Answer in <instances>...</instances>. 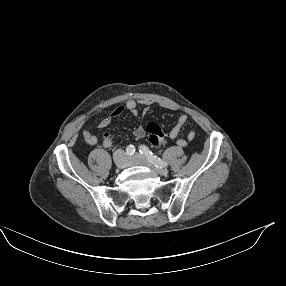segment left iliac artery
Segmentation results:
<instances>
[{
  "mask_svg": "<svg viewBox=\"0 0 286 286\" xmlns=\"http://www.w3.org/2000/svg\"><path fill=\"white\" fill-rule=\"evenodd\" d=\"M139 152L142 155L146 156L148 161H150L156 167H167V165H168L165 161H163L160 158H158L157 156L153 155V153L145 145L139 146Z\"/></svg>",
  "mask_w": 286,
  "mask_h": 286,
  "instance_id": "left-iliac-artery-1",
  "label": "left iliac artery"
}]
</instances>
